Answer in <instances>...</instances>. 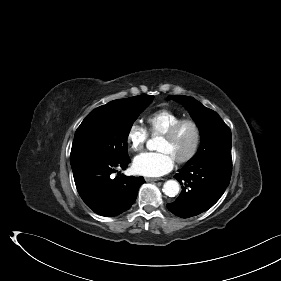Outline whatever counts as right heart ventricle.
Listing matches in <instances>:
<instances>
[{
    "label": "right heart ventricle",
    "mask_w": 281,
    "mask_h": 281,
    "mask_svg": "<svg viewBox=\"0 0 281 281\" xmlns=\"http://www.w3.org/2000/svg\"><path fill=\"white\" fill-rule=\"evenodd\" d=\"M180 119L182 117L175 112L168 109H160L150 114L146 121L152 135H162Z\"/></svg>",
    "instance_id": "obj_1"
}]
</instances>
